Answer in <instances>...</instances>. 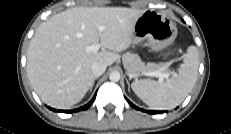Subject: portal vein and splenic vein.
<instances>
[{
    "mask_svg": "<svg viewBox=\"0 0 231 134\" xmlns=\"http://www.w3.org/2000/svg\"><path fill=\"white\" fill-rule=\"evenodd\" d=\"M104 30V26L101 25L99 26V31L102 32ZM100 49V44H93L91 46H89L87 48L88 51H92V52H97ZM146 76H152V77H157L159 78V82H162L165 78H168L171 74H175L174 72H167V73H163L160 71H151V72H144L143 73Z\"/></svg>",
    "mask_w": 231,
    "mask_h": 134,
    "instance_id": "1",
    "label": "portal vein and splenic vein"
}]
</instances>
